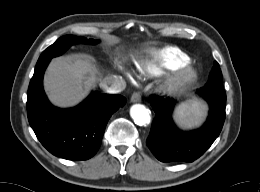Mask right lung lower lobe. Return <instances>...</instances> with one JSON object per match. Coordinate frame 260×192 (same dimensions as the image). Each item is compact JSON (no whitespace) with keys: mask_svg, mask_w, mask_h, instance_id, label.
Returning a JSON list of instances; mask_svg holds the SVG:
<instances>
[{"mask_svg":"<svg viewBox=\"0 0 260 192\" xmlns=\"http://www.w3.org/2000/svg\"><path fill=\"white\" fill-rule=\"evenodd\" d=\"M49 61L36 65L27 94L30 126L53 155L86 160L99 149L111 115L125 105L121 95L92 92L79 106L59 109L50 104L43 90V74Z\"/></svg>","mask_w":260,"mask_h":192,"instance_id":"1","label":"right lung lower lobe"}]
</instances>
